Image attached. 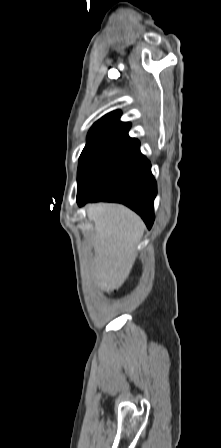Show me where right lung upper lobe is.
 <instances>
[{
  "label": "right lung upper lobe",
  "mask_w": 221,
  "mask_h": 448,
  "mask_svg": "<svg viewBox=\"0 0 221 448\" xmlns=\"http://www.w3.org/2000/svg\"><path fill=\"white\" fill-rule=\"evenodd\" d=\"M120 115V111H113L98 120L88 133L85 148L110 147L115 149L131 139L127 134L131 125L120 122Z\"/></svg>",
  "instance_id": "1"
}]
</instances>
